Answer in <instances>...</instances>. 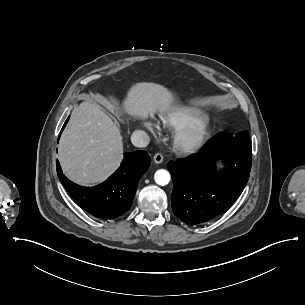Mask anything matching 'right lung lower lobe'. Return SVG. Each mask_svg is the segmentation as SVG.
<instances>
[{"label":"right lung lower lobe","instance_id":"obj_1","mask_svg":"<svg viewBox=\"0 0 305 305\" xmlns=\"http://www.w3.org/2000/svg\"><path fill=\"white\" fill-rule=\"evenodd\" d=\"M150 163L151 158L146 151L126 153L118 170L94 187H82L67 179L62 175L58 160L56 168L61 183L80 207L96 217L113 219L130 209L138 182Z\"/></svg>","mask_w":305,"mask_h":305}]
</instances>
